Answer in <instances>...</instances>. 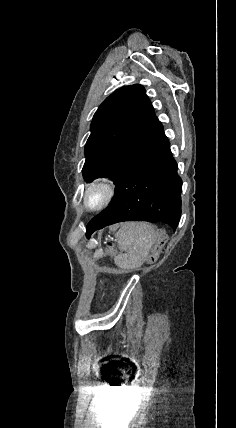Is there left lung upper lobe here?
<instances>
[{
  "instance_id": "obj_1",
  "label": "left lung upper lobe",
  "mask_w": 236,
  "mask_h": 428,
  "mask_svg": "<svg viewBox=\"0 0 236 428\" xmlns=\"http://www.w3.org/2000/svg\"><path fill=\"white\" fill-rule=\"evenodd\" d=\"M142 85L124 86L99 106L85 145L83 177H109L117 185L142 144L158 123Z\"/></svg>"
}]
</instances>
